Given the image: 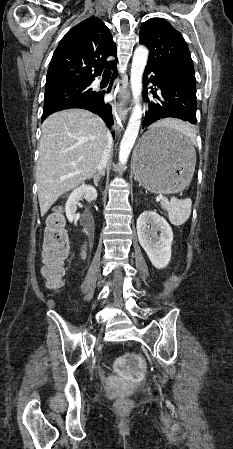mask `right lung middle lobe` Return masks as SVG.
Returning a JSON list of instances; mask_svg holds the SVG:
<instances>
[{"label":"right lung middle lobe","mask_w":233,"mask_h":449,"mask_svg":"<svg viewBox=\"0 0 233 449\" xmlns=\"http://www.w3.org/2000/svg\"><path fill=\"white\" fill-rule=\"evenodd\" d=\"M95 92L90 84L66 85L45 91L43 111L53 109L68 102L90 98Z\"/></svg>","instance_id":"obj_1"}]
</instances>
